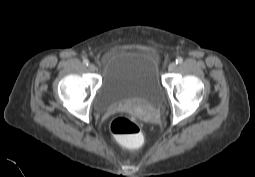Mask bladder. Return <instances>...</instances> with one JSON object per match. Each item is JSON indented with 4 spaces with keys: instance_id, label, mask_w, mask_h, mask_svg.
Segmentation results:
<instances>
[{
    "instance_id": "obj_1",
    "label": "bladder",
    "mask_w": 255,
    "mask_h": 177,
    "mask_svg": "<svg viewBox=\"0 0 255 177\" xmlns=\"http://www.w3.org/2000/svg\"><path fill=\"white\" fill-rule=\"evenodd\" d=\"M163 101L164 87L154 54L149 50H125L104 66L94 106L103 113L128 102L157 106Z\"/></svg>"
}]
</instances>
